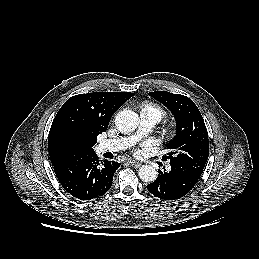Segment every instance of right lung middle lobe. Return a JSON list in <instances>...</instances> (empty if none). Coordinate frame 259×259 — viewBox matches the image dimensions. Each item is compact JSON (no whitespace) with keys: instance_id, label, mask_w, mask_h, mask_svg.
<instances>
[{"instance_id":"obj_1","label":"right lung middle lobe","mask_w":259,"mask_h":259,"mask_svg":"<svg viewBox=\"0 0 259 259\" xmlns=\"http://www.w3.org/2000/svg\"><path fill=\"white\" fill-rule=\"evenodd\" d=\"M61 148H62V151L66 155H69V156L94 151L92 148H88L86 150L79 148L78 145H77L76 138L71 134H68V135H66L65 137L62 138Z\"/></svg>"}]
</instances>
